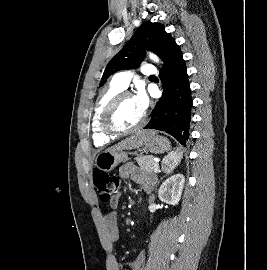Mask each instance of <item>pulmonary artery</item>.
I'll use <instances>...</instances> for the list:
<instances>
[{
    "label": "pulmonary artery",
    "mask_w": 267,
    "mask_h": 270,
    "mask_svg": "<svg viewBox=\"0 0 267 270\" xmlns=\"http://www.w3.org/2000/svg\"><path fill=\"white\" fill-rule=\"evenodd\" d=\"M141 72L144 75H154L156 74V68L151 64H146L142 67ZM133 77V73L131 71H121L116 73L113 76V82L118 85L121 89H126Z\"/></svg>",
    "instance_id": "1"
}]
</instances>
